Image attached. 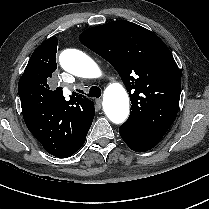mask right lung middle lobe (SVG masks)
Returning <instances> with one entry per match:
<instances>
[{
  "instance_id": "dd1d6c3e",
  "label": "right lung middle lobe",
  "mask_w": 209,
  "mask_h": 209,
  "mask_svg": "<svg viewBox=\"0 0 209 209\" xmlns=\"http://www.w3.org/2000/svg\"><path fill=\"white\" fill-rule=\"evenodd\" d=\"M56 68V56L51 60H46L42 57L36 58L29 72L20 78L18 93L30 90L37 94L45 95L49 90L47 82L52 77V73Z\"/></svg>"
}]
</instances>
